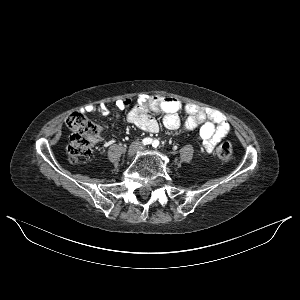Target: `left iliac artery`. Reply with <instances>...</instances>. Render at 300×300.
I'll list each match as a JSON object with an SVG mask.
<instances>
[{"label": "left iliac artery", "instance_id": "1", "mask_svg": "<svg viewBox=\"0 0 300 300\" xmlns=\"http://www.w3.org/2000/svg\"><path fill=\"white\" fill-rule=\"evenodd\" d=\"M152 146L154 148H157L159 146V141L158 140H154L153 143H152Z\"/></svg>", "mask_w": 300, "mask_h": 300}]
</instances>
